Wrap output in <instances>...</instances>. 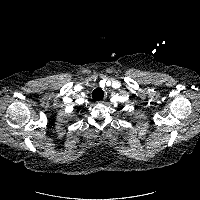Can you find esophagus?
<instances>
[{"mask_svg":"<svg viewBox=\"0 0 200 200\" xmlns=\"http://www.w3.org/2000/svg\"><path fill=\"white\" fill-rule=\"evenodd\" d=\"M104 102H105L104 100L99 101V103H101V104H103Z\"/></svg>","mask_w":200,"mask_h":200,"instance_id":"obj_1","label":"esophagus"}]
</instances>
